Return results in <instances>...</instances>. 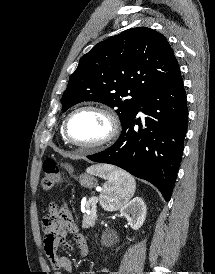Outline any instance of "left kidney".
Returning a JSON list of instances; mask_svg holds the SVG:
<instances>
[{"mask_svg":"<svg viewBox=\"0 0 215 274\" xmlns=\"http://www.w3.org/2000/svg\"><path fill=\"white\" fill-rule=\"evenodd\" d=\"M120 213L133 230H138L145 221L147 209L143 199L135 197L121 208Z\"/></svg>","mask_w":215,"mask_h":274,"instance_id":"obj_1","label":"left kidney"}]
</instances>
